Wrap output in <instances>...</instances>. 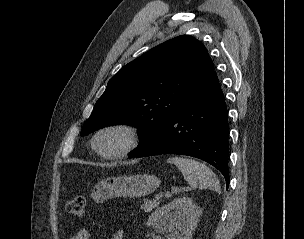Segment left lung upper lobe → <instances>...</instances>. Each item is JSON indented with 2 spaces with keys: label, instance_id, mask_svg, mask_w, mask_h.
I'll list each match as a JSON object with an SVG mask.
<instances>
[{
  "label": "left lung upper lobe",
  "instance_id": "5c2ea615",
  "mask_svg": "<svg viewBox=\"0 0 304 239\" xmlns=\"http://www.w3.org/2000/svg\"><path fill=\"white\" fill-rule=\"evenodd\" d=\"M213 71L200 41L189 35L168 40L123 66L109 80L80 134L116 124L135 126L139 150L165 129Z\"/></svg>",
  "mask_w": 304,
  "mask_h": 239
}]
</instances>
